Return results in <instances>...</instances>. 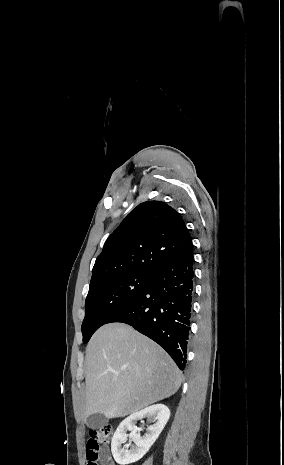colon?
<instances>
[{"instance_id": "1", "label": "colon", "mask_w": 284, "mask_h": 465, "mask_svg": "<svg viewBox=\"0 0 284 465\" xmlns=\"http://www.w3.org/2000/svg\"><path fill=\"white\" fill-rule=\"evenodd\" d=\"M112 434V429L109 426H93L89 429L88 436L85 438L88 465L97 464L98 455L91 451H98L103 444L110 441Z\"/></svg>"}]
</instances>
